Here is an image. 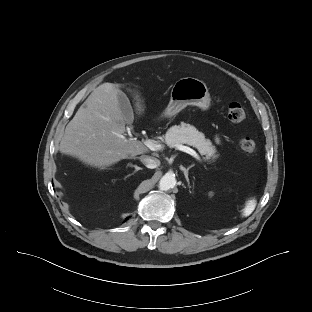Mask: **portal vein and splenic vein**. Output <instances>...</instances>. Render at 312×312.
Masks as SVG:
<instances>
[{"label":"portal vein and splenic vein","instance_id":"obj_1","mask_svg":"<svg viewBox=\"0 0 312 312\" xmlns=\"http://www.w3.org/2000/svg\"><path fill=\"white\" fill-rule=\"evenodd\" d=\"M144 144L152 151H157L162 149L161 144H159L157 141L155 140H151V139H147L145 140ZM177 148L180 151L186 152L188 154H190L191 156H193L194 158H196L197 160H200L199 155L196 153V151H194L193 149H191L188 146H183V145H178Z\"/></svg>","mask_w":312,"mask_h":312}]
</instances>
